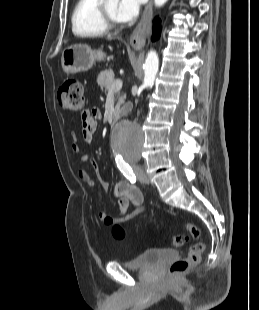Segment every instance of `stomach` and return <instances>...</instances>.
Here are the masks:
<instances>
[{
	"label": "stomach",
	"instance_id": "1",
	"mask_svg": "<svg viewBox=\"0 0 259 310\" xmlns=\"http://www.w3.org/2000/svg\"><path fill=\"white\" fill-rule=\"evenodd\" d=\"M105 57L106 54L100 50L95 51L88 45L75 44L63 50L61 65L64 72L74 74L89 70L96 61L104 60Z\"/></svg>",
	"mask_w": 259,
	"mask_h": 310
}]
</instances>
